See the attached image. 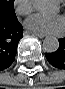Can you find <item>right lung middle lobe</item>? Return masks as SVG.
I'll list each match as a JSON object with an SVG mask.
<instances>
[{
    "label": "right lung middle lobe",
    "mask_w": 65,
    "mask_h": 89,
    "mask_svg": "<svg viewBox=\"0 0 65 89\" xmlns=\"http://www.w3.org/2000/svg\"><path fill=\"white\" fill-rule=\"evenodd\" d=\"M14 0H0V20H16Z\"/></svg>",
    "instance_id": "1"
}]
</instances>
